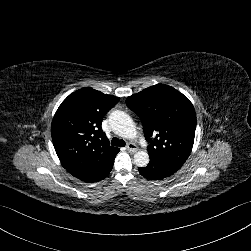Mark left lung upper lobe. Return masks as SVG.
Here are the masks:
<instances>
[{
    "instance_id": "left-lung-upper-lobe-1",
    "label": "left lung upper lobe",
    "mask_w": 251,
    "mask_h": 251,
    "mask_svg": "<svg viewBox=\"0 0 251 251\" xmlns=\"http://www.w3.org/2000/svg\"><path fill=\"white\" fill-rule=\"evenodd\" d=\"M126 104L143 122L149 155L183 165L191 153L196 129L189 99L168 85L157 84L129 96Z\"/></svg>"
}]
</instances>
